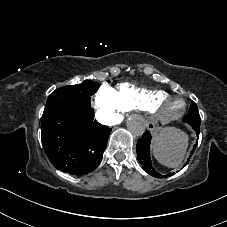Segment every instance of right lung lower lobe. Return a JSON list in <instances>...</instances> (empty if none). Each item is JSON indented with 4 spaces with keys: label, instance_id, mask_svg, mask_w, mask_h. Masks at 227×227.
Returning a JSON list of instances; mask_svg holds the SVG:
<instances>
[{
    "label": "right lung lower lobe",
    "instance_id": "right-lung-lower-lobe-1",
    "mask_svg": "<svg viewBox=\"0 0 227 227\" xmlns=\"http://www.w3.org/2000/svg\"><path fill=\"white\" fill-rule=\"evenodd\" d=\"M111 128L94 120L89 107H65L42 116L41 140L50 162L62 172L94 171L106 149Z\"/></svg>",
    "mask_w": 227,
    "mask_h": 227
}]
</instances>
